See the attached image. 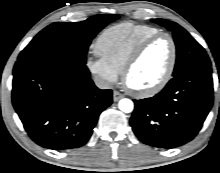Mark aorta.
<instances>
[{"label": "aorta", "mask_w": 220, "mask_h": 173, "mask_svg": "<svg viewBox=\"0 0 220 173\" xmlns=\"http://www.w3.org/2000/svg\"><path fill=\"white\" fill-rule=\"evenodd\" d=\"M118 107L122 112L130 113L134 109V104L130 99H121L118 103Z\"/></svg>", "instance_id": "762f6f07"}]
</instances>
